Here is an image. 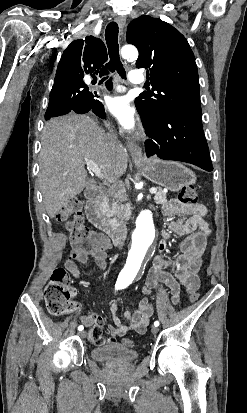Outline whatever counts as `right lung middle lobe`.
Returning <instances> with one entry per match:
<instances>
[{"label":"right lung middle lobe","instance_id":"obj_1","mask_svg":"<svg viewBox=\"0 0 247 413\" xmlns=\"http://www.w3.org/2000/svg\"><path fill=\"white\" fill-rule=\"evenodd\" d=\"M85 88L83 81H68L54 83L50 99L63 98L80 93Z\"/></svg>","mask_w":247,"mask_h":413}]
</instances>
